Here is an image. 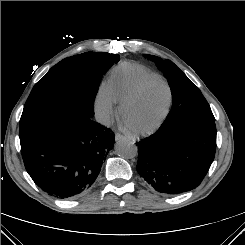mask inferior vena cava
I'll list each match as a JSON object with an SVG mask.
<instances>
[{"label":"inferior vena cava","instance_id":"inferior-vena-cava-1","mask_svg":"<svg viewBox=\"0 0 245 245\" xmlns=\"http://www.w3.org/2000/svg\"><path fill=\"white\" fill-rule=\"evenodd\" d=\"M95 118L98 123L105 125V126H108L111 123L110 116L105 113H98L96 114Z\"/></svg>","mask_w":245,"mask_h":245}]
</instances>
